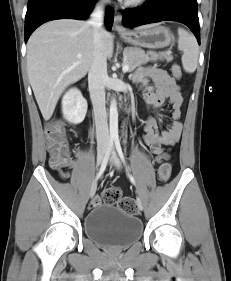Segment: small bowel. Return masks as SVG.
Returning <instances> with one entry per match:
<instances>
[{"mask_svg": "<svg viewBox=\"0 0 231 281\" xmlns=\"http://www.w3.org/2000/svg\"><path fill=\"white\" fill-rule=\"evenodd\" d=\"M133 81L143 86L148 100L154 105L160 106L165 102L171 105L172 121L166 129L161 131L154 118H147L144 123L143 147L149 149L150 155H155L156 162L161 163L170 158L164 147L174 145L181 136L182 94L169 74L159 68L143 67L133 75ZM69 165H73V162ZM58 172L62 178L68 177L64 169H58Z\"/></svg>", "mask_w": 231, "mask_h": 281, "instance_id": "obj_1", "label": "small bowel"}]
</instances>
